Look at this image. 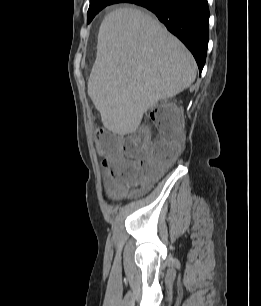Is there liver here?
Returning a JSON list of instances; mask_svg holds the SVG:
<instances>
[{"label":"liver","instance_id":"6515ba94","mask_svg":"<svg viewBox=\"0 0 261 306\" xmlns=\"http://www.w3.org/2000/svg\"><path fill=\"white\" fill-rule=\"evenodd\" d=\"M196 69L192 54L159 21L120 8L100 25L88 95L107 129L130 134L149 108L188 88Z\"/></svg>","mask_w":261,"mask_h":306}]
</instances>
